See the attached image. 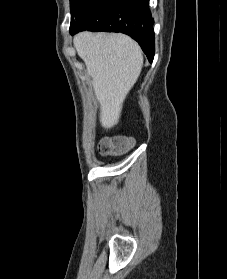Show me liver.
<instances>
[{
    "instance_id": "6515ba94",
    "label": "liver",
    "mask_w": 227,
    "mask_h": 279,
    "mask_svg": "<svg viewBox=\"0 0 227 279\" xmlns=\"http://www.w3.org/2000/svg\"><path fill=\"white\" fill-rule=\"evenodd\" d=\"M74 46L92 78L100 103V123L109 129L118 124L123 103L143 66L140 46L121 33L81 32Z\"/></svg>"
}]
</instances>
